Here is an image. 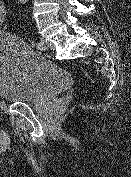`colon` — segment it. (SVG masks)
<instances>
[{
	"label": "colon",
	"mask_w": 131,
	"mask_h": 177,
	"mask_svg": "<svg viewBox=\"0 0 131 177\" xmlns=\"http://www.w3.org/2000/svg\"><path fill=\"white\" fill-rule=\"evenodd\" d=\"M5 14H6V9H5L4 1L0 0V25H2L5 20Z\"/></svg>",
	"instance_id": "colon-1"
}]
</instances>
